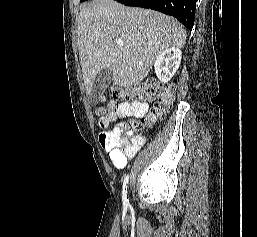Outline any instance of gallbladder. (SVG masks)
Masks as SVG:
<instances>
[{
    "label": "gallbladder",
    "mask_w": 257,
    "mask_h": 237,
    "mask_svg": "<svg viewBox=\"0 0 257 237\" xmlns=\"http://www.w3.org/2000/svg\"><path fill=\"white\" fill-rule=\"evenodd\" d=\"M113 80V71L109 68H103L95 77L93 87L90 93V100L96 102L99 96L105 91Z\"/></svg>",
    "instance_id": "gallbladder-1"
}]
</instances>
